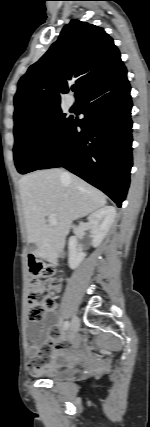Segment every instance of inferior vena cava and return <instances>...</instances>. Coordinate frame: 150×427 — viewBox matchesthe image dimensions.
Segmentation results:
<instances>
[{
	"instance_id": "obj_1",
	"label": "inferior vena cava",
	"mask_w": 150,
	"mask_h": 427,
	"mask_svg": "<svg viewBox=\"0 0 150 427\" xmlns=\"http://www.w3.org/2000/svg\"><path fill=\"white\" fill-rule=\"evenodd\" d=\"M63 176H68V174L66 172L63 173Z\"/></svg>"
}]
</instances>
